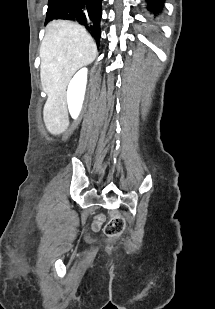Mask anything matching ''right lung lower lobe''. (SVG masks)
Here are the masks:
<instances>
[{"label": "right lung lower lobe", "mask_w": 215, "mask_h": 309, "mask_svg": "<svg viewBox=\"0 0 215 309\" xmlns=\"http://www.w3.org/2000/svg\"><path fill=\"white\" fill-rule=\"evenodd\" d=\"M102 0H49L46 21L63 19L72 20L85 26L94 37L97 45L100 43V20L102 16Z\"/></svg>", "instance_id": "1"}]
</instances>
